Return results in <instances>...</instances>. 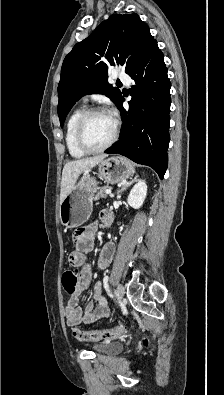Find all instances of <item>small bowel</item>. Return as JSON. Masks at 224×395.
Wrapping results in <instances>:
<instances>
[{"instance_id": "obj_1", "label": "small bowel", "mask_w": 224, "mask_h": 395, "mask_svg": "<svg viewBox=\"0 0 224 395\" xmlns=\"http://www.w3.org/2000/svg\"><path fill=\"white\" fill-rule=\"evenodd\" d=\"M105 212L100 213L99 219L101 222H104ZM96 227V224L86 226L78 229L73 235L75 250L70 253L69 261L73 265L80 266L81 271L79 273L76 291L71 294L65 306V320L69 327H77L81 324L88 325L97 319L107 318L109 316L110 309L108 301L103 295L102 286L99 282L93 285V300L89 301L84 308L79 306L81 293L91 285L92 271L90 265L86 262V253L93 248ZM114 253L115 245L113 243H107L100 253L98 260L99 269H104L110 264Z\"/></svg>"}]
</instances>
